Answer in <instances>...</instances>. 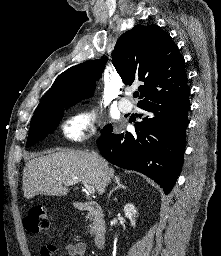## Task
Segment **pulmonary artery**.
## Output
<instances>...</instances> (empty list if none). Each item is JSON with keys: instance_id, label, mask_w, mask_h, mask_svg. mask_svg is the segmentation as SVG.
Wrapping results in <instances>:
<instances>
[{"instance_id": "1", "label": "pulmonary artery", "mask_w": 221, "mask_h": 256, "mask_svg": "<svg viewBox=\"0 0 221 256\" xmlns=\"http://www.w3.org/2000/svg\"><path fill=\"white\" fill-rule=\"evenodd\" d=\"M118 106L123 113H130L133 110V104L126 97L119 100Z\"/></svg>"}]
</instances>
